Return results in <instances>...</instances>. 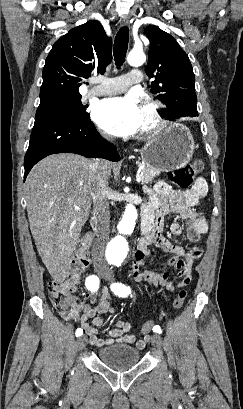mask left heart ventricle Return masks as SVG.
Masks as SVG:
<instances>
[{
  "mask_svg": "<svg viewBox=\"0 0 243 409\" xmlns=\"http://www.w3.org/2000/svg\"><path fill=\"white\" fill-rule=\"evenodd\" d=\"M151 124V117L148 110L142 106V125L141 129L148 127Z\"/></svg>",
  "mask_w": 243,
  "mask_h": 409,
  "instance_id": "left-heart-ventricle-1",
  "label": "left heart ventricle"
}]
</instances>
